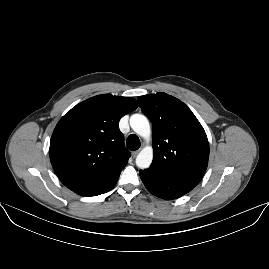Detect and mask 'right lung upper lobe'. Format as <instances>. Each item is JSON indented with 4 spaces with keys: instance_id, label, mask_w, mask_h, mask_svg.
Wrapping results in <instances>:
<instances>
[{
    "instance_id": "cb5924a9",
    "label": "right lung upper lobe",
    "mask_w": 269,
    "mask_h": 269,
    "mask_svg": "<svg viewBox=\"0 0 269 269\" xmlns=\"http://www.w3.org/2000/svg\"><path fill=\"white\" fill-rule=\"evenodd\" d=\"M138 107L132 97L97 95L67 112L50 142L51 164L72 191L104 184L119 176L130 152L119 120Z\"/></svg>"
}]
</instances>
